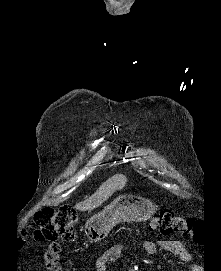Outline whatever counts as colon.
<instances>
[{"instance_id": "colon-1", "label": "colon", "mask_w": 221, "mask_h": 271, "mask_svg": "<svg viewBox=\"0 0 221 271\" xmlns=\"http://www.w3.org/2000/svg\"><path fill=\"white\" fill-rule=\"evenodd\" d=\"M77 212L67 204L59 207L44 206L36 210L30 229L35 240L48 241L49 247L43 254L45 266L51 271H59L58 255L60 243L58 239L70 241L74 238V224ZM152 231L159 230L166 234H180L194 240L200 239L201 222L187 216L170 211L159 212L150 223Z\"/></svg>"}]
</instances>
